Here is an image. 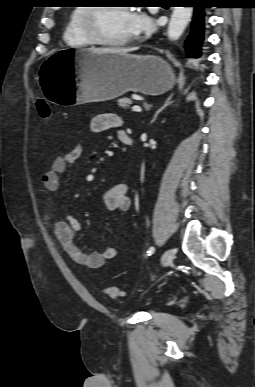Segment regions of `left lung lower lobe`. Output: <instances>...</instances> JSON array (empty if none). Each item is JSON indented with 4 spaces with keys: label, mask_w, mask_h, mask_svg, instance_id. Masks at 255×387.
Returning <instances> with one entry per match:
<instances>
[{
    "label": "left lung lower lobe",
    "mask_w": 255,
    "mask_h": 387,
    "mask_svg": "<svg viewBox=\"0 0 255 387\" xmlns=\"http://www.w3.org/2000/svg\"><path fill=\"white\" fill-rule=\"evenodd\" d=\"M185 3L194 7V17L190 35L185 42L186 56L188 58H200L204 46L205 34V8L208 7L207 0H185Z\"/></svg>",
    "instance_id": "left-lung-lower-lobe-1"
}]
</instances>
